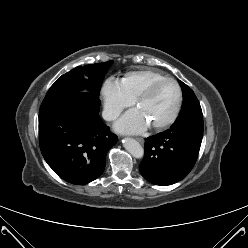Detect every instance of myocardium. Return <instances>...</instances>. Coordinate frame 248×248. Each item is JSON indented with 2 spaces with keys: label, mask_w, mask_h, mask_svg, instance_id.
Here are the masks:
<instances>
[{
  "label": "myocardium",
  "mask_w": 248,
  "mask_h": 248,
  "mask_svg": "<svg viewBox=\"0 0 248 248\" xmlns=\"http://www.w3.org/2000/svg\"><path fill=\"white\" fill-rule=\"evenodd\" d=\"M163 82H172L176 88H177V92H178V98H177V103L175 106L174 111L171 113V115L169 117H167L166 119H164L163 121L157 122V123H152L151 126L153 128H164L169 126L170 124H172L178 117L181 107H182V103H183V92L181 89L180 84L178 83L177 80H175L174 78L171 77H163L161 79L155 80L153 82H151L135 99H134V104L135 105H139L142 101L146 100L150 94L152 93V91L155 89L156 86H158L159 84L163 83Z\"/></svg>",
  "instance_id": "f54148a6"
}]
</instances>
